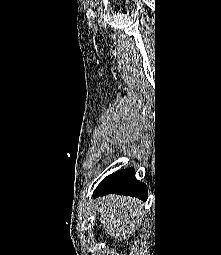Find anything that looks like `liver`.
I'll return each mask as SVG.
<instances>
[{
  "label": "liver",
  "mask_w": 221,
  "mask_h": 255,
  "mask_svg": "<svg viewBox=\"0 0 221 255\" xmlns=\"http://www.w3.org/2000/svg\"><path fill=\"white\" fill-rule=\"evenodd\" d=\"M99 205L101 225L115 239L127 240L142 223L143 204L136 198L108 195L99 199Z\"/></svg>",
  "instance_id": "liver-1"
}]
</instances>
